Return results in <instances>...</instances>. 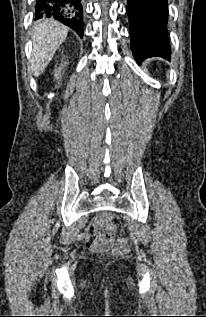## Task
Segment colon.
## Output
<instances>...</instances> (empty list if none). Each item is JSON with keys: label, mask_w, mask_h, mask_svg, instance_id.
I'll return each mask as SVG.
<instances>
[{"label": "colon", "mask_w": 206, "mask_h": 317, "mask_svg": "<svg viewBox=\"0 0 206 317\" xmlns=\"http://www.w3.org/2000/svg\"><path fill=\"white\" fill-rule=\"evenodd\" d=\"M99 224L87 237V244L95 252H107L122 255L128 251V243L123 238H116L108 227L112 226L111 214L105 213L99 219Z\"/></svg>", "instance_id": "5ec220e1"}]
</instances>
